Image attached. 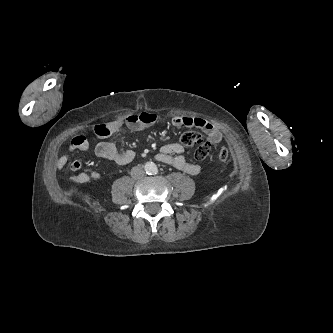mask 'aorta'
<instances>
[{
  "mask_svg": "<svg viewBox=\"0 0 333 333\" xmlns=\"http://www.w3.org/2000/svg\"><path fill=\"white\" fill-rule=\"evenodd\" d=\"M146 173H154L157 170V166L153 162H147L144 166Z\"/></svg>",
  "mask_w": 333,
  "mask_h": 333,
  "instance_id": "1",
  "label": "aorta"
}]
</instances>
